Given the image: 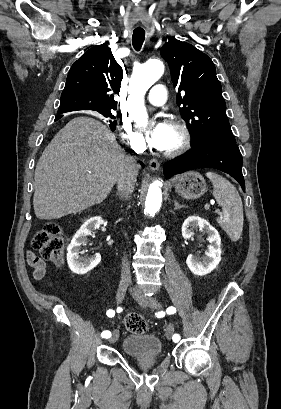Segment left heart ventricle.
Here are the masks:
<instances>
[{
  "mask_svg": "<svg viewBox=\"0 0 281 409\" xmlns=\"http://www.w3.org/2000/svg\"><path fill=\"white\" fill-rule=\"evenodd\" d=\"M179 142L180 134L176 130H173L172 128L168 127L165 144L160 150L166 151L173 149L179 144Z\"/></svg>",
  "mask_w": 281,
  "mask_h": 409,
  "instance_id": "1",
  "label": "left heart ventricle"
}]
</instances>
